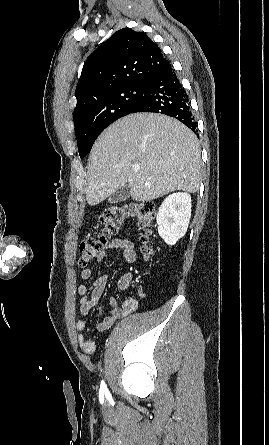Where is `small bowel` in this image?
Returning <instances> with one entry per match:
<instances>
[{
	"instance_id": "obj_1",
	"label": "small bowel",
	"mask_w": 269,
	"mask_h": 445,
	"mask_svg": "<svg viewBox=\"0 0 269 445\" xmlns=\"http://www.w3.org/2000/svg\"><path fill=\"white\" fill-rule=\"evenodd\" d=\"M111 249L119 250L128 264H133L136 261V251L133 243L125 238H118L110 241L97 257L98 261H103L107 255V251ZM93 271L90 268H86L81 272V278L83 280H89L92 278ZM128 281V276L122 279V284L125 285ZM107 285V277L100 276L96 278L93 284L88 287L85 284L77 286V294L80 296L78 301L79 313L81 316H86L91 309L97 306L101 296L103 295ZM110 315L107 316L101 323L97 325V331L100 333L107 332L112 326H114L119 320L125 318L131 313L135 312L138 308V301L133 298L126 299L125 302L120 305L116 298L111 297L109 299ZM86 322L79 320L76 323V329L79 331L78 343L81 349L88 354H92L96 350L95 340L87 337Z\"/></svg>"
}]
</instances>
